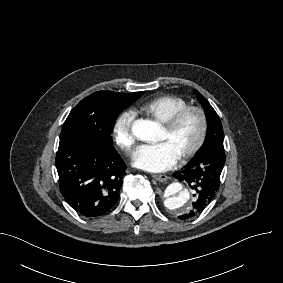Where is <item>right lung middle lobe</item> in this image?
<instances>
[{"instance_id": "1", "label": "right lung middle lobe", "mask_w": 283, "mask_h": 283, "mask_svg": "<svg viewBox=\"0 0 283 283\" xmlns=\"http://www.w3.org/2000/svg\"><path fill=\"white\" fill-rule=\"evenodd\" d=\"M143 95V92L100 91L80 101L68 115L61 138L83 136L95 142L113 145L110 134L118 115Z\"/></svg>"}]
</instances>
